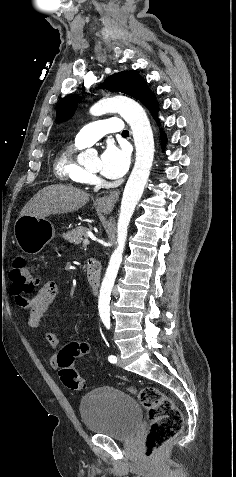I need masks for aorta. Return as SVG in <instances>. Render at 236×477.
Here are the masks:
<instances>
[{"mask_svg": "<svg viewBox=\"0 0 236 477\" xmlns=\"http://www.w3.org/2000/svg\"><path fill=\"white\" fill-rule=\"evenodd\" d=\"M108 112H118L130 125L135 143L136 159L122 196L117 223V248L111 255L100 288L98 308L102 320L110 319V296L122 262L128 226L149 178L155 151L150 122L144 109L137 102L125 96H114L100 100L90 109V113L94 116ZM92 153L93 150H86L82 155L87 157Z\"/></svg>", "mask_w": 236, "mask_h": 477, "instance_id": "aorta-1", "label": "aorta"}]
</instances>
